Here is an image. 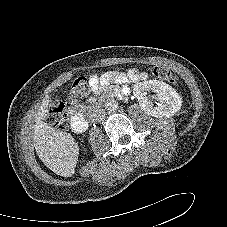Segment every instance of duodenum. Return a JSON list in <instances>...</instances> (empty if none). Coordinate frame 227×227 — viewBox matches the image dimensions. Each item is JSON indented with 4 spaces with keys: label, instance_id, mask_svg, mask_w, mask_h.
Instances as JSON below:
<instances>
[{
    "label": "duodenum",
    "instance_id": "obj_1",
    "mask_svg": "<svg viewBox=\"0 0 227 227\" xmlns=\"http://www.w3.org/2000/svg\"><path fill=\"white\" fill-rule=\"evenodd\" d=\"M72 126L76 132L82 133L88 129L89 122L83 114H74L72 119Z\"/></svg>",
    "mask_w": 227,
    "mask_h": 227
}]
</instances>
